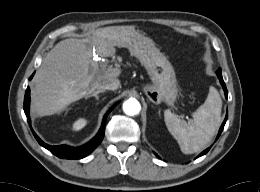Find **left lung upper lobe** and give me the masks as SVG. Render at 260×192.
I'll return each mask as SVG.
<instances>
[{
	"label": "left lung upper lobe",
	"mask_w": 260,
	"mask_h": 192,
	"mask_svg": "<svg viewBox=\"0 0 260 192\" xmlns=\"http://www.w3.org/2000/svg\"><path fill=\"white\" fill-rule=\"evenodd\" d=\"M216 74H217L218 77H219V76H222V73H221V69H220V68L217 70Z\"/></svg>",
	"instance_id": "obj_1"
}]
</instances>
